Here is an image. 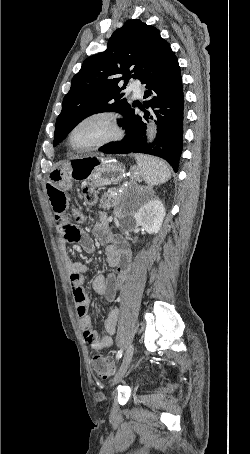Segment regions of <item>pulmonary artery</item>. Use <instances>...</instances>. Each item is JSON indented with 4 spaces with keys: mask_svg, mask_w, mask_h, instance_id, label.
Segmentation results:
<instances>
[{
    "mask_svg": "<svg viewBox=\"0 0 250 454\" xmlns=\"http://www.w3.org/2000/svg\"><path fill=\"white\" fill-rule=\"evenodd\" d=\"M127 90L130 92H134V94L138 97L141 96V87L139 84V81L137 80H132L131 83L129 84Z\"/></svg>",
    "mask_w": 250,
    "mask_h": 454,
    "instance_id": "e3ab8cb5",
    "label": "pulmonary artery"
}]
</instances>
